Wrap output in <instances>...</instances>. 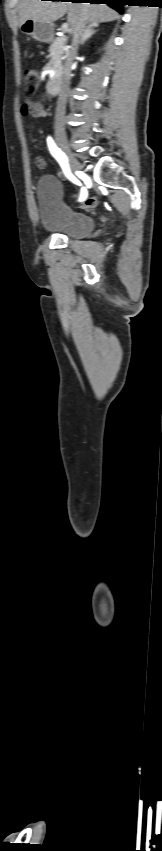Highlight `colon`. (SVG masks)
Segmentation results:
<instances>
[{"mask_svg":"<svg viewBox=\"0 0 162 851\" xmlns=\"http://www.w3.org/2000/svg\"><path fill=\"white\" fill-rule=\"evenodd\" d=\"M24 80L26 85V91L28 93H34L40 83L39 73L34 69H27L24 71ZM78 204L82 208H91L95 207L98 204V199L95 196L87 197L85 200L80 201Z\"/></svg>","mask_w":162,"mask_h":851,"instance_id":"colon-1","label":"colon"}]
</instances>
